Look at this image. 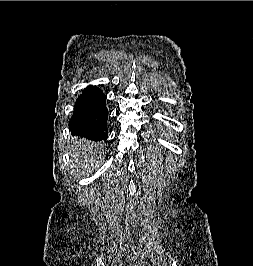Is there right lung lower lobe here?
Listing matches in <instances>:
<instances>
[{
  "label": "right lung lower lobe",
  "mask_w": 253,
  "mask_h": 266,
  "mask_svg": "<svg viewBox=\"0 0 253 266\" xmlns=\"http://www.w3.org/2000/svg\"><path fill=\"white\" fill-rule=\"evenodd\" d=\"M107 120L108 109L104 93L96 86H89L76 100L69 130L72 135L96 142L105 141L108 136Z\"/></svg>",
  "instance_id": "1"
}]
</instances>
